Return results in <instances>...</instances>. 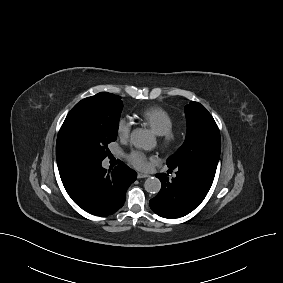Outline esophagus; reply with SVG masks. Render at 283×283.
<instances>
[{
	"instance_id": "obj_1",
	"label": "esophagus",
	"mask_w": 283,
	"mask_h": 283,
	"mask_svg": "<svg viewBox=\"0 0 283 283\" xmlns=\"http://www.w3.org/2000/svg\"><path fill=\"white\" fill-rule=\"evenodd\" d=\"M137 177H138L139 179H141V178H147V177H149V175H148V174H144V173H138V174H137Z\"/></svg>"
}]
</instances>
